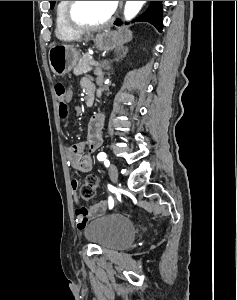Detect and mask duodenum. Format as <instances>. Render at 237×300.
<instances>
[{
  "label": "duodenum",
  "instance_id": "1",
  "mask_svg": "<svg viewBox=\"0 0 237 300\" xmlns=\"http://www.w3.org/2000/svg\"><path fill=\"white\" fill-rule=\"evenodd\" d=\"M93 102V92L92 90H88L86 93L85 104L86 106H91Z\"/></svg>",
  "mask_w": 237,
  "mask_h": 300
}]
</instances>
